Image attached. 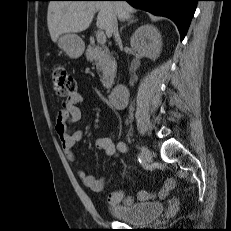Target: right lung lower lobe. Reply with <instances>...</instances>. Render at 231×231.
<instances>
[{
	"instance_id": "right-lung-lower-lobe-1",
	"label": "right lung lower lobe",
	"mask_w": 231,
	"mask_h": 231,
	"mask_svg": "<svg viewBox=\"0 0 231 231\" xmlns=\"http://www.w3.org/2000/svg\"><path fill=\"white\" fill-rule=\"evenodd\" d=\"M98 1V0H89ZM152 14L165 16L177 25L181 40L185 37L199 0H119Z\"/></svg>"
}]
</instances>
